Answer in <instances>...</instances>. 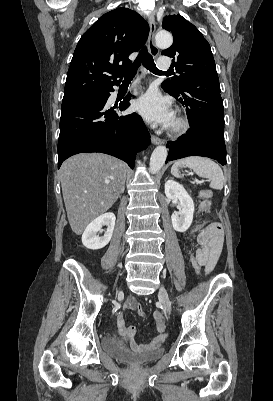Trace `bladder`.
Instances as JSON below:
<instances>
[{"instance_id": "obj_1", "label": "bladder", "mask_w": 273, "mask_h": 401, "mask_svg": "<svg viewBox=\"0 0 273 401\" xmlns=\"http://www.w3.org/2000/svg\"><path fill=\"white\" fill-rule=\"evenodd\" d=\"M102 349L110 357L131 366H142L155 361L162 356L164 351L161 346H157L144 352L133 353L119 339L113 336H105L103 338Z\"/></svg>"}]
</instances>
